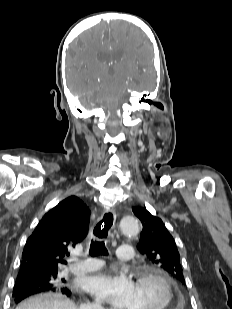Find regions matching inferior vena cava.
Masks as SVG:
<instances>
[{
    "label": "inferior vena cava",
    "mask_w": 232,
    "mask_h": 309,
    "mask_svg": "<svg viewBox=\"0 0 232 309\" xmlns=\"http://www.w3.org/2000/svg\"><path fill=\"white\" fill-rule=\"evenodd\" d=\"M81 309H104V308H102L99 303H94L93 305H89Z\"/></svg>",
    "instance_id": "1"
}]
</instances>
